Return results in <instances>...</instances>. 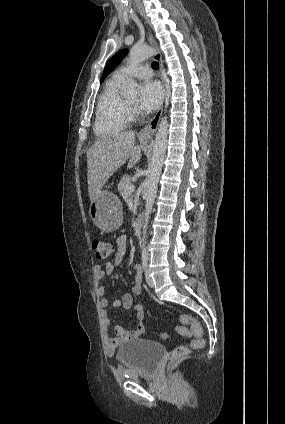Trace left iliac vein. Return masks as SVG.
Segmentation results:
<instances>
[{"label":"left iliac vein","mask_w":285,"mask_h":424,"mask_svg":"<svg viewBox=\"0 0 285 424\" xmlns=\"http://www.w3.org/2000/svg\"><path fill=\"white\" fill-rule=\"evenodd\" d=\"M145 278H146V282H147V284H148L151 288H153V287H154V281H153V279L151 278V276L149 275L148 271H146V273H145Z\"/></svg>","instance_id":"left-iliac-vein-1"}]
</instances>
